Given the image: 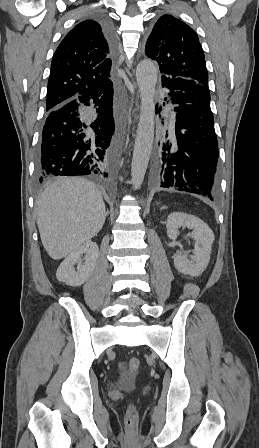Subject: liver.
<instances>
[{
  "label": "liver",
  "instance_id": "liver-1",
  "mask_svg": "<svg viewBox=\"0 0 259 448\" xmlns=\"http://www.w3.org/2000/svg\"><path fill=\"white\" fill-rule=\"evenodd\" d=\"M41 242L50 258L61 260L100 232L106 214L102 194L83 178H60L37 202Z\"/></svg>",
  "mask_w": 259,
  "mask_h": 448
}]
</instances>
